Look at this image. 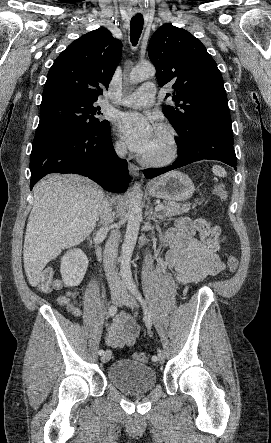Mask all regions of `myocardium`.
<instances>
[{"instance_id": "1", "label": "myocardium", "mask_w": 271, "mask_h": 443, "mask_svg": "<svg viewBox=\"0 0 271 443\" xmlns=\"http://www.w3.org/2000/svg\"><path fill=\"white\" fill-rule=\"evenodd\" d=\"M156 128L165 134L169 143V149L166 154L157 156V157H149L146 156L143 158L144 162L151 166H164L175 161L180 153V143L178 139V135L176 130L168 124L161 123L156 126Z\"/></svg>"}]
</instances>
